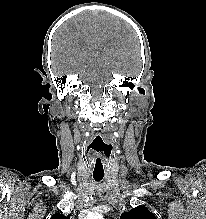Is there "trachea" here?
Returning a JSON list of instances; mask_svg holds the SVG:
<instances>
[{"label":"trachea","instance_id":"trachea-1","mask_svg":"<svg viewBox=\"0 0 206 219\" xmlns=\"http://www.w3.org/2000/svg\"><path fill=\"white\" fill-rule=\"evenodd\" d=\"M103 177H104V174L103 175H95V174H93V179L95 180V181H101L102 179H103Z\"/></svg>","mask_w":206,"mask_h":219}]
</instances>
